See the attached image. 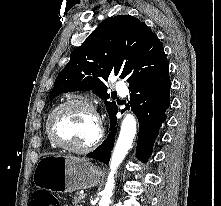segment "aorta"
I'll return each mask as SVG.
<instances>
[{
	"label": "aorta",
	"mask_w": 221,
	"mask_h": 206,
	"mask_svg": "<svg viewBox=\"0 0 221 206\" xmlns=\"http://www.w3.org/2000/svg\"><path fill=\"white\" fill-rule=\"evenodd\" d=\"M136 134V119L133 115L127 114L122 121L119 137L115 144L111 160L110 173L108 175L107 183L102 192L101 199L98 206H109L111 203V196L114 189V174L119 165L126 157Z\"/></svg>",
	"instance_id": "aorta-1"
}]
</instances>
